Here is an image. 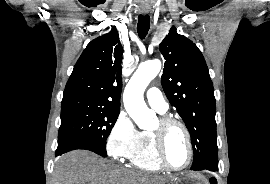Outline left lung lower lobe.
Wrapping results in <instances>:
<instances>
[{
  "instance_id": "left-lung-lower-lobe-1",
  "label": "left lung lower lobe",
  "mask_w": 270,
  "mask_h": 184,
  "mask_svg": "<svg viewBox=\"0 0 270 184\" xmlns=\"http://www.w3.org/2000/svg\"><path fill=\"white\" fill-rule=\"evenodd\" d=\"M199 170H210L216 172L218 170V163H210L202 166Z\"/></svg>"
}]
</instances>
